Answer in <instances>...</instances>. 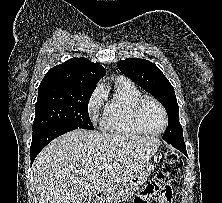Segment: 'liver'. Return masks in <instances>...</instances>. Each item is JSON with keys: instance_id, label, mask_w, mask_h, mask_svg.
Here are the masks:
<instances>
[{"instance_id": "obj_1", "label": "liver", "mask_w": 222, "mask_h": 203, "mask_svg": "<svg viewBox=\"0 0 222 203\" xmlns=\"http://www.w3.org/2000/svg\"><path fill=\"white\" fill-rule=\"evenodd\" d=\"M160 140L85 129L48 144L33 163L38 203H81L101 192L112 197L158 151Z\"/></svg>"}]
</instances>
